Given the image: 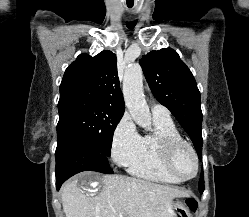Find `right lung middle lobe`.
Wrapping results in <instances>:
<instances>
[{
	"mask_svg": "<svg viewBox=\"0 0 249 217\" xmlns=\"http://www.w3.org/2000/svg\"><path fill=\"white\" fill-rule=\"evenodd\" d=\"M57 133L70 132L99 153L111 155L114 130L124 111L78 97L60 98Z\"/></svg>",
	"mask_w": 249,
	"mask_h": 217,
	"instance_id": "obj_1",
	"label": "right lung middle lobe"
}]
</instances>
